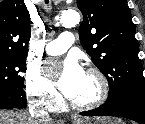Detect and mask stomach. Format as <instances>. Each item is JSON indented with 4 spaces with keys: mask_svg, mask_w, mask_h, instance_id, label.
Segmentation results:
<instances>
[{
    "mask_svg": "<svg viewBox=\"0 0 145 124\" xmlns=\"http://www.w3.org/2000/svg\"><path fill=\"white\" fill-rule=\"evenodd\" d=\"M118 120L111 118H97V119H77L73 124H118Z\"/></svg>",
    "mask_w": 145,
    "mask_h": 124,
    "instance_id": "1",
    "label": "stomach"
}]
</instances>
